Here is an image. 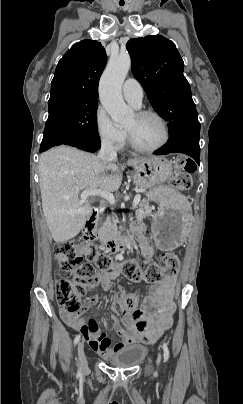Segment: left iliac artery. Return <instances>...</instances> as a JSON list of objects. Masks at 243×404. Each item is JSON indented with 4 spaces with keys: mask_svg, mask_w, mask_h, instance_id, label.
<instances>
[{
    "mask_svg": "<svg viewBox=\"0 0 243 404\" xmlns=\"http://www.w3.org/2000/svg\"><path fill=\"white\" fill-rule=\"evenodd\" d=\"M162 347H163V351H164V362H166L169 358V350H168L166 343H163Z\"/></svg>",
    "mask_w": 243,
    "mask_h": 404,
    "instance_id": "left-iliac-artery-1",
    "label": "left iliac artery"
}]
</instances>
